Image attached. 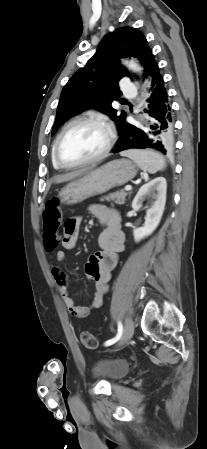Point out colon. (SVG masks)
<instances>
[{
  "label": "colon",
  "instance_id": "1",
  "mask_svg": "<svg viewBox=\"0 0 207 449\" xmlns=\"http://www.w3.org/2000/svg\"><path fill=\"white\" fill-rule=\"evenodd\" d=\"M62 221V214L59 203L56 199L46 202L43 214V239L44 246L51 251L57 247L60 242L59 228ZM80 338L85 347L95 349L98 346L96 337L88 332H81Z\"/></svg>",
  "mask_w": 207,
  "mask_h": 449
}]
</instances>
